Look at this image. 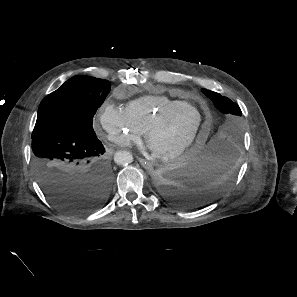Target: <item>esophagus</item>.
<instances>
[{
	"label": "esophagus",
	"instance_id": "34e87169",
	"mask_svg": "<svg viewBox=\"0 0 297 297\" xmlns=\"http://www.w3.org/2000/svg\"><path fill=\"white\" fill-rule=\"evenodd\" d=\"M139 162L141 163V165L143 166V168H145L146 170H152L153 169V165L150 163V162H148V161H146V160H144V159H139Z\"/></svg>",
	"mask_w": 297,
	"mask_h": 297
}]
</instances>
